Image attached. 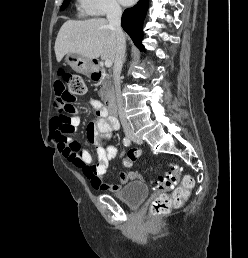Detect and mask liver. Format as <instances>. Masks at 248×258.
<instances>
[{"mask_svg": "<svg viewBox=\"0 0 248 258\" xmlns=\"http://www.w3.org/2000/svg\"><path fill=\"white\" fill-rule=\"evenodd\" d=\"M117 38L109 22L104 18L85 21H66L60 28L55 41L58 62L68 54H78L93 60L100 56L114 61Z\"/></svg>", "mask_w": 248, "mask_h": 258, "instance_id": "1", "label": "liver"}]
</instances>
